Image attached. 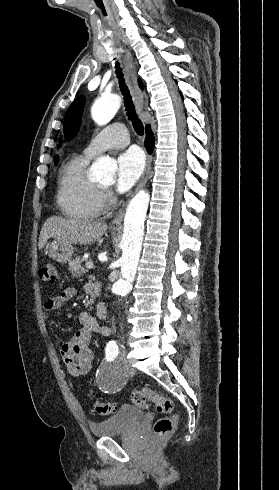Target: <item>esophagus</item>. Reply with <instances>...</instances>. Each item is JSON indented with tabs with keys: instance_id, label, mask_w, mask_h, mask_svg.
Listing matches in <instances>:
<instances>
[{
	"instance_id": "obj_1",
	"label": "esophagus",
	"mask_w": 279,
	"mask_h": 490,
	"mask_svg": "<svg viewBox=\"0 0 279 490\" xmlns=\"http://www.w3.org/2000/svg\"><path fill=\"white\" fill-rule=\"evenodd\" d=\"M123 62L125 67L126 80L129 89L131 91V95L133 97L134 103L136 105V109L138 112H142L144 109L143 94L137 83L132 53L126 47H123ZM151 166H152V155H147L144 171L142 173L140 182L137 185L136 192H138L146 184L148 175L151 170ZM124 211L125 208H122V210L119 211L118 215H116V217L110 224V228L121 227V223L124 218Z\"/></svg>"
}]
</instances>
